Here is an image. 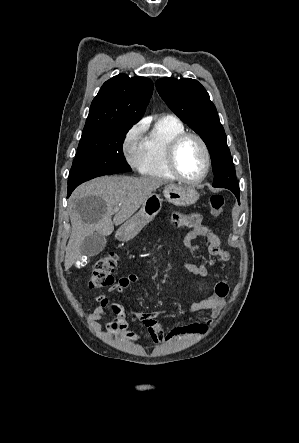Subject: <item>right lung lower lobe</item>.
Returning <instances> with one entry per match:
<instances>
[{
	"mask_svg": "<svg viewBox=\"0 0 299 443\" xmlns=\"http://www.w3.org/2000/svg\"><path fill=\"white\" fill-rule=\"evenodd\" d=\"M77 186H72V187H68V193H67V197H69L72 193V191L76 188Z\"/></svg>",
	"mask_w": 299,
	"mask_h": 443,
	"instance_id": "obj_1",
	"label": "right lung lower lobe"
}]
</instances>
